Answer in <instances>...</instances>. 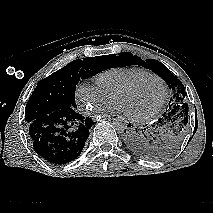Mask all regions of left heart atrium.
<instances>
[{
    "label": "left heart atrium",
    "mask_w": 213,
    "mask_h": 213,
    "mask_svg": "<svg viewBox=\"0 0 213 213\" xmlns=\"http://www.w3.org/2000/svg\"><path fill=\"white\" fill-rule=\"evenodd\" d=\"M108 109L114 112H120L127 115V112L124 109V107L121 104L117 103L116 101ZM102 110H105V109H98V112H101Z\"/></svg>",
    "instance_id": "1"
}]
</instances>
